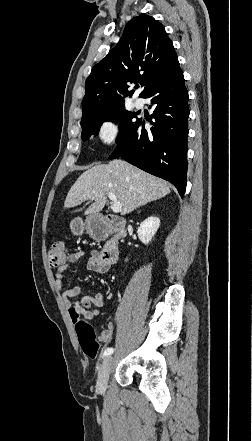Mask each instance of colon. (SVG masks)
Returning a JSON list of instances; mask_svg holds the SVG:
<instances>
[{
    "label": "colon",
    "instance_id": "colon-1",
    "mask_svg": "<svg viewBox=\"0 0 252 441\" xmlns=\"http://www.w3.org/2000/svg\"><path fill=\"white\" fill-rule=\"evenodd\" d=\"M48 256L52 267L61 265L67 257V249L64 242H54L49 248ZM75 329L84 354L89 358H96L100 351V345L92 325L85 320H79L75 324Z\"/></svg>",
    "mask_w": 252,
    "mask_h": 441
}]
</instances>
